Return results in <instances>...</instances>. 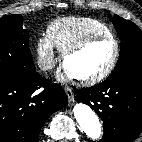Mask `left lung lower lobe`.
<instances>
[{
  "label": "left lung lower lobe",
  "instance_id": "0a47b994",
  "mask_svg": "<svg viewBox=\"0 0 142 142\" xmlns=\"http://www.w3.org/2000/svg\"><path fill=\"white\" fill-rule=\"evenodd\" d=\"M76 100L101 117L104 135L98 142H132L142 131V79L104 81L79 90Z\"/></svg>",
  "mask_w": 142,
  "mask_h": 142
}]
</instances>
